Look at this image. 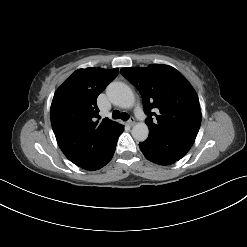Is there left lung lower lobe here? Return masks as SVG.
<instances>
[{"mask_svg":"<svg viewBox=\"0 0 247 247\" xmlns=\"http://www.w3.org/2000/svg\"><path fill=\"white\" fill-rule=\"evenodd\" d=\"M192 145L160 139L149 135L147 140L140 142L139 147L144 156L159 165H170L180 160Z\"/></svg>","mask_w":247,"mask_h":247,"instance_id":"0a47b994","label":"left lung lower lobe"}]
</instances>
